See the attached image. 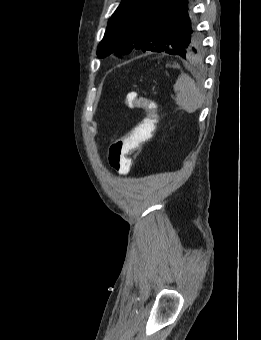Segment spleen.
<instances>
[{"instance_id":"3e777b00","label":"spleen","mask_w":261,"mask_h":340,"mask_svg":"<svg viewBox=\"0 0 261 340\" xmlns=\"http://www.w3.org/2000/svg\"><path fill=\"white\" fill-rule=\"evenodd\" d=\"M176 104L187 113H194L202 107L204 95L195 81L187 74L182 73L174 84Z\"/></svg>"}]
</instances>
